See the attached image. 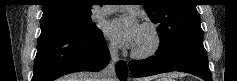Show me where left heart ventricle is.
Returning <instances> with one entry per match:
<instances>
[{
  "label": "left heart ventricle",
  "mask_w": 237,
  "mask_h": 81,
  "mask_svg": "<svg viewBox=\"0 0 237 81\" xmlns=\"http://www.w3.org/2000/svg\"><path fill=\"white\" fill-rule=\"evenodd\" d=\"M150 44H151V35L146 29L142 28L140 37L134 49L136 51H144L150 46Z\"/></svg>",
  "instance_id": "left-heart-ventricle-1"
}]
</instances>
